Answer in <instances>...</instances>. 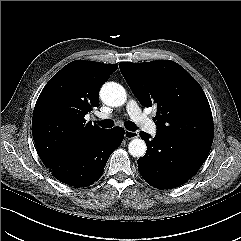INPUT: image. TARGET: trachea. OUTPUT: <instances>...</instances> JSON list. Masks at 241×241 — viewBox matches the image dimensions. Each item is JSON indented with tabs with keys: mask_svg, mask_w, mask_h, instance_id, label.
Masks as SVG:
<instances>
[{
	"mask_svg": "<svg viewBox=\"0 0 241 241\" xmlns=\"http://www.w3.org/2000/svg\"><path fill=\"white\" fill-rule=\"evenodd\" d=\"M98 124L103 128H111V127L114 126V121H112V120H102V121L98 122ZM124 126L126 127V129H128L130 131L137 130L136 125L131 121L125 122Z\"/></svg>",
	"mask_w": 241,
	"mask_h": 241,
	"instance_id": "trachea-1",
	"label": "trachea"
}]
</instances>
